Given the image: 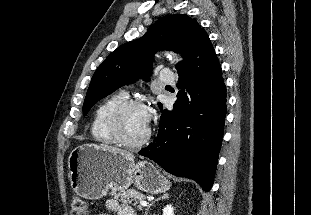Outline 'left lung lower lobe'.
I'll return each mask as SVG.
<instances>
[{
    "label": "left lung lower lobe",
    "instance_id": "1",
    "mask_svg": "<svg viewBox=\"0 0 311 215\" xmlns=\"http://www.w3.org/2000/svg\"><path fill=\"white\" fill-rule=\"evenodd\" d=\"M177 70L179 92L173 109L161 110L157 137L138 153L175 176L195 180L207 192L213 184L227 110L222 69L208 35Z\"/></svg>",
    "mask_w": 311,
    "mask_h": 215
}]
</instances>
